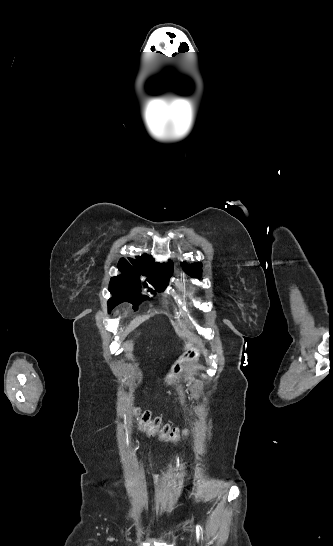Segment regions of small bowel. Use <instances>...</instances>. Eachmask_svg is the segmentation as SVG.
<instances>
[{"label":"small bowel","mask_w":333,"mask_h":546,"mask_svg":"<svg viewBox=\"0 0 333 546\" xmlns=\"http://www.w3.org/2000/svg\"><path fill=\"white\" fill-rule=\"evenodd\" d=\"M150 478H151L154 482H158V481L161 480V476L158 475V474L150 475Z\"/></svg>","instance_id":"small-bowel-1"}]
</instances>
